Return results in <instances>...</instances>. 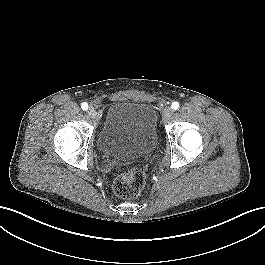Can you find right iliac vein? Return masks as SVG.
I'll return each instance as SVG.
<instances>
[{"mask_svg": "<svg viewBox=\"0 0 265 265\" xmlns=\"http://www.w3.org/2000/svg\"><path fill=\"white\" fill-rule=\"evenodd\" d=\"M87 113L92 119L97 118V111L94 108H89Z\"/></svg>", "mask_w": 265, "mask_h": 265, "instance_id": "1", "label": "right iliac vein"}]
</instances>
